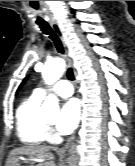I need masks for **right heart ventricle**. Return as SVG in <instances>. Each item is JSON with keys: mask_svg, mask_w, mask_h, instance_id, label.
Segmentation results:
<instances>
[{"mask_svg": "<svg viewBox=\"0 0 135 166\" xmlns=\"http://www.w3.org/2000/svg\"><path fill=\"white\" fill-rule=\"evenodd\" d=\"M41 101V98L32 94L24 99L16 110L17 135L26 146H40L49 137L47 126L38 116Z\"/></svg>", "mask_w": 135, "mask_h": 166, "instance_id": "right-heart-ventricle-1", "label": "right heart ventricle"}]
</instances>
